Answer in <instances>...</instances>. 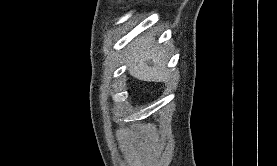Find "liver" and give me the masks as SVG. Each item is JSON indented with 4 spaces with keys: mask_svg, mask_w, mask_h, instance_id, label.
Segmentation results:
<instances>
[{
    "mask_svg": "<svg viewBox=\"0 0 277 166\" xmlns=\"http://www.w3.org/2000/svg\"><path fill=\"white\" fill-rule=\"evenodd\" d=\"M128 51V70L132 75L146 81L167 79L169 75V71L166 70L167 59L164 57V51L154 46V39L137 38L128 46ZM149 59L154 61L152 68L146 65Z\"/></svg>",
    "mask_w": 277,
    "mask_h": 166,
    "instance_id": "6515ba94",
    "label": "liver"
}]
</instances>
